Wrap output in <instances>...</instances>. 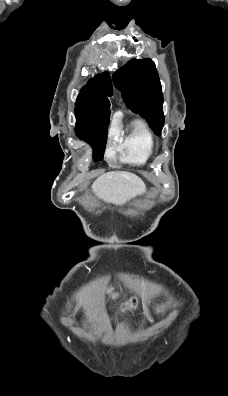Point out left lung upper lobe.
Listing matches in <instances>:
<instances>
[{
    "mask_svg": "<svg viewBox=\"0 0 228 396\" xmlns=\"http://www.w3.org/2000/svg\"><path fill=\"white\" fill-rule=\"evenodd\" d=\"M126 105L146 119L155 134L164 125L163 94L155 64L151 59H132L113 74Z\"/></svg>",
    "mask_w": 228,
    "mask_h": 396,
    "instance_id": "1",
    "label": "left lung upper lobe"
}]
</instances>
